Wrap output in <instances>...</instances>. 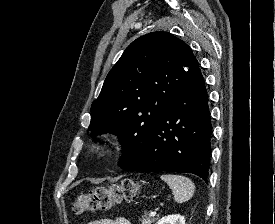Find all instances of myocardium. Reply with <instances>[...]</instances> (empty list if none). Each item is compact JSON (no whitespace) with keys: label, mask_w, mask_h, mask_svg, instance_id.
Returning a JSON list of instances; mask_svg holds the SVG:
<instances>
[{"label":"myocardium","mask_w":275,"mask_h":224,"mask_svg":"<svg viewBox=\"0 0 275 224\" xmlns=\"http://www.w3.org/2000/svg\"><path fill=\"white\" fill-rule=\"evenodd\" d=\"M119 138L114 134L104 135L96 144V151L102 156H109L119 148Z\"/></svg>","instance_id":"obj_1"}]
</instances>
